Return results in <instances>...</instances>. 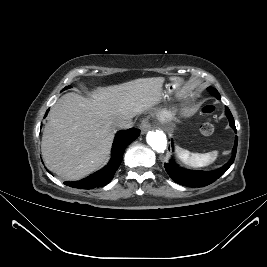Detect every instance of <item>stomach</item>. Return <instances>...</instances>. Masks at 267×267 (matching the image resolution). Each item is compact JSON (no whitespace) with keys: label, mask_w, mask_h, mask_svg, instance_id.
Returning a JSON list of instances; mask_svg holds the SVG:
<instances>
[{"label":"stomach","mask_w":267,"mask_h":267,"mask_svg":"<svg viewBox=\"0 0 267 267\" xmlns=\"http://www.w3.org/2000/svg\"><path fill=\"white\" fill-rule=\"evenodd\" d=\"M183 83V80L177 77L171 79V83L167 85L169 92L178 90Z\"/></svg>","instance_id":"stomach-1"}]
</instances>
